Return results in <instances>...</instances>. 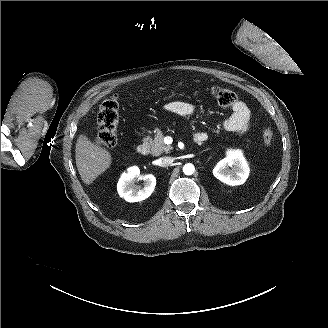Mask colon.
Here are the masks:
<instances>
[{
	"mask_svg": "<svg viewBox=\"0 0 328 328\" xmlns=\"http://www.w3.org/2000/svg\"><path fill=\"white\" fill-rule=\"evenodd\" d=\"M210 93L220 106H230L235 103L236 94L227 88L214 86ZM119 122V103L116 97L102 102L99 108L97 123L98 134L96 143L105 148H112L117 143V127ZM273 141V132L270 128L263 131V143L269 147Z\"/></svg>",
	"mask_w": 328,
	"mask_h": 328,
	"instance_id": "5ec220e1",
	"label": "colon"
}]
</instances>
